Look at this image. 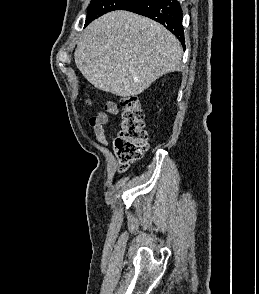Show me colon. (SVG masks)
<instances>
[{
	"label": "colon",
	"mask_w": 259,
	"mask_h": 294,
	"mask_svg": "<svg viewBox=\"0 0 259 294\" xmlns=\"http://www.w3.org/2000/svg\"><path fill=\"white\" fill-rule=\"evenodd\" d=\"M121 107V124L115 147L124 171L147 151L148 135L139 99L136 96L124 97L121 99Z\"/></svg>",
	"instance_id": "colon-1"
}]
</instances>
